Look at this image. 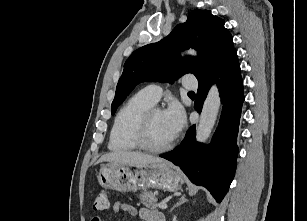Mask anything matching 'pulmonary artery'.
I'll list each match as a JSON object with an SVG mask.
<instances>
[{
  "label": "pulmonary artery",
  "mask_w": 307,
  "mask_h": 221,
  "mask_svg": "<svg viewBox=\"0 0 307 221\" xmlns=\"http://www.w3.org/2000/svg\"><path fill=\"white\" fill-rule=\"evenodd\" d=\"M183 86L187 89H196L197 88V82L193 79V76L187 75L182 82ZM142 94L147 97L151 102L157 103L162 94L163 89L161 86L157 84H150L146 87H144L141 90Z\"/></svg>",
  "instance_id": "e3ab8cb5"
}]
</instances>
